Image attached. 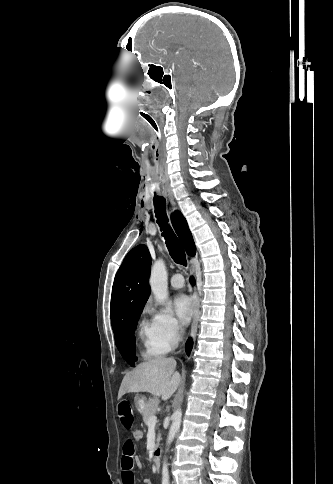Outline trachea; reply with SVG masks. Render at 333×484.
<instances>
[{"label": "trachea", "mask_w": 333, "mask_h": 484, "mask_svg": "<svg viewBox=\"0 0 333 484\" xmlns=\"http://www.w3.org/2000/svg\"><path fill=\"white\" fill-rule=\"evenodd\" d=\"M154 128V138L156 140L155 142V148L154 151L156 153V159L157 163L155 164V183L159 184L160 183V176L162 172V159L166 154L167 148H166V142H165V132L157 129V125L154 122V120L150 116H143ZM156 196L153 198L154 206H155V215L157 218V223L161 227V231L163 229L162 235L164 236L166 240V246L168 248V251L174 260L175 263L183 266H187V260H186V255L183 249V246L179 239L177 238L176 234L168 224V217L166 215V200L163 197V192L161 191L160 188L156 189Z\"/></svg>", "instance_id": "obj_1"}]
</instances>
